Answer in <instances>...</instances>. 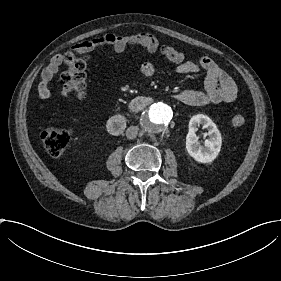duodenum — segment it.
I'll return each instance as SVG.
<instances>
[{"instance_id":"obj_1","label":"duodenum","mask_w":281,"mask_h":281,"mask_svg":"<svg viewBox=\"0 0 281 281\" xmlns=\"http://www.w3.org/2000/svg\"><path fill=\"white\" fill-rule=\"evenodd\" d=\"M151 103L152 99L150 97L138 96L129 103V110L133 113L139 112L148 107ZM126 125V116L124 114H116L109 119L107 123V129L111 134L119 135L124 131Z\"/></svg>"}]
</instances>
